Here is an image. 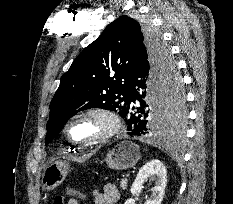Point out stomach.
I'll return each mask as SVG.
<instances>
[{"label":"stomach","instance_id":"obj_1","mask_svg":"<svg viewBox=\"0 0 233 204\" xmlns=\"http://www.w3.org/2000/svg\"><path fill=\"white\" fill-rule=\"evenodd\" d=\"M139 159V147L130 141H123L107 153L104 161L113 170H126L134 167ZM68 170L69 165L62 161L47 165L41 178L42 189L49 191L59 186L65 180Z\"/></svg>","mask_w":233,"mask_h":204}]
</instances>
